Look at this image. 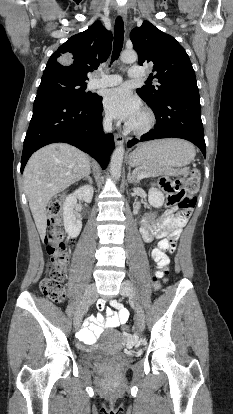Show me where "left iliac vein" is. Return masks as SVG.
I'll list each match as a JSON object with an SVG mask.
<instances>
[{
	"label": "left iliac vein",
	"instance_id": "1",
	"mask_svg": "<svg viewBox=\"0 0 233 414\" xmlns=\"http://www.w3.org/2000/svg\"><path fill=\"white\" fill-rule=\"evenodd\" d=\"M121 295L134 299V288H133V285L129 281H124L122 283ZM135 310H136L137 326L140 330H143L145 327V315H144V311L142 307L137 302H136Z\"/></svg>",
	"mask_w": 233,
	"mask_h": 414
}]
</instances>
